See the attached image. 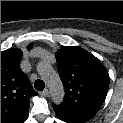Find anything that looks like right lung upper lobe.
<instances>
[{"instance_id": "cb5924a9", "label": "right lung upper lobe", "mask_w": 123, "mask_h": 123, "mask_svg": "<svg viewBox=\"0 0 123 123\" xmlns=\"http://www.w3.org/2000/svg\"><path fill=\"white\" fill-rule=\"evenodd\" d=\"M33 44H29L30 50ZM22 52H1V123H24L29 114V99L37 95L26 74L20 69Z\"/></svg>"}]
</instances>
